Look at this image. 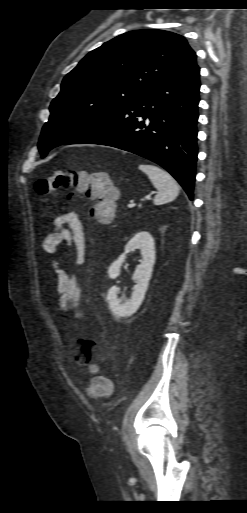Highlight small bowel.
Returning <instances> with one entry per match:
<instances>
[{"instance_id": "c3829d8e", "label": "small bowel", "mask_w": 247, "mask_h": 513, "mask_svg": "<svg viewBox=\"0 0 247 513\" xmlns=\"http://www.w3.org/2000/svg\"><path fill=\"white\" fill-rule=\"evenodd\" d=\"M70 245L73 250L74 263L82 265L86 260V239L84 227L75 212H68L56 217L51 230L42 240V249L47 254H56L63 245ZM57 275L56 291L60 296V309L63 312L73 311L76 318L83 319L80 310L81 287L77 278L64 267L60 260L53 261ZM93 347L92 342H87Z\"/></svg>"}]
</instances>
